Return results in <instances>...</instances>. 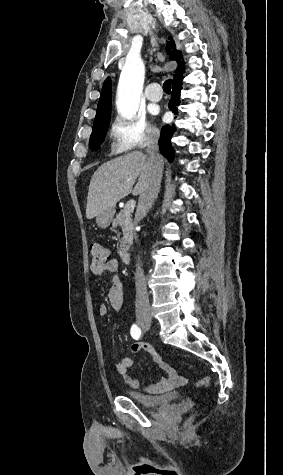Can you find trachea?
Masks as SVG:
<instances>
[{"instance_id":"1","label":"trachea","mask_w":283,"mask_h":475,"mask_svg":"<svg viewBox=\"0 0 283 475\" xmlns=\"http://www.w3.org/2000/svg\"><path fill=\"white\" fill-rule=\"evenodd\" d=\"M163 90L166 93H170V91H171V79H168L163 83Z\"/></svg>"}]
</instances>
